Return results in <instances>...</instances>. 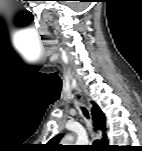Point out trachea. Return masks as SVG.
Returning <instances> with one entry per match:
<instances>
[{
  "label": "trachea",
  "instance_id": "obj_1",
  "mask_svg": "<svg viewBox=\"0 0 142 151\" xmlns=\"http://www.w3.org/2000/svg\"><path fill=\"white\" fill-rule=\"evenodd\" d=\"M82 111H83V114L85 115V117H86L87 119H89V115H88L87 110H86L85 108H82ZM94 143H97V141H95Z\"/></svg>",
  "mask_w": 142,
  "mask_h": 151
}]
</instances>
